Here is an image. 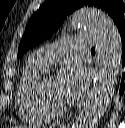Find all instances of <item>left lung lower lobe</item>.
Returning <instances> with one entry per match:
<instances>
[{
  "label": "left lung lower lobe",
  "mask_w": 125,
  "mask_h": 128,
  "mask_svg": "<svg viewBox=\"0 0 125 128\" xmlns=\"http://www.w3.org/2000/svg\"><path fill=\"white\" fill-rule=\"evenodd\" d=\"M118 31L120 33L121 39H122V44H123V51H122V65L125 66V21L122 22L117 26ZM124 79V77H123ZM124 91V83L122 82L121 88H120V93H123Z\"/></svg>",
  "instance_id": "left-lung-lower-lobe-1"
}]
</instances>
